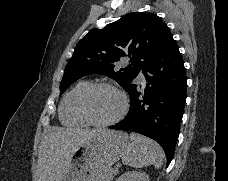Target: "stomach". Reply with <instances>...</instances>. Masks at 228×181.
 Segmentation results:
<instances>
[{"mask_svg": "<svg viewBox=\"0 0 228 181\" xmlns=\"http://www.w3.org/2000/svg\"><path fill=\"white\" fill-rule=\"evenodd\" d=\"M129 143L122 131H96L75 149L62 181H109V171Z\"/></svg>", "mask_w": 228, "mask_h": 181, "instance_id": "obj_1", "label": "stomach"}]
</instances>
